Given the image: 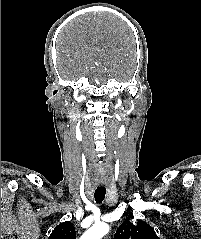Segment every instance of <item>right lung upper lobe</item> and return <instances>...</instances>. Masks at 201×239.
I'll return each mask as SVG.
<instances>
[{"instance_id":"1","label":"right lung upper lobe","mask_w":201,"mask_h":239,"mask_svg":"<svg viewBox=\"0 0 201 239\" xmlns=\"http://www.w3.org/2000/svg\"><path fill=\"white\" fill-rule=\"evenodd\" d=\"M48 239H76L74 226L66 221L57 225Z\"/></svg>"}]
</instances>
